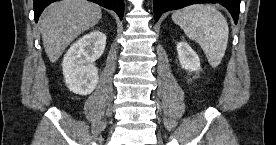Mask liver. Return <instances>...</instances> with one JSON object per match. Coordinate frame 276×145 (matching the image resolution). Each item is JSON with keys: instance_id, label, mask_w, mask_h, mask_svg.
<instances>
[{"instance_id": "liver-1", "label": "liver", "mask_w": 276, "mask_h": 145, "mask_svg": "<svg viewBox=\"0 0 276 145\" xmlns=\"http://www.w3.org/2000/svg\"><path fill=\"white\" fill-rule=\"evenodd\" d=\"M102 17L101 7L86 0L51 3L39 24L43 46L50 62L55 63L80 34L95 26Z\"/></svg>"}]
</instances>
